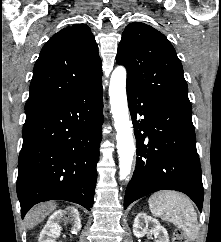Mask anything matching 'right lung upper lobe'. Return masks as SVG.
Wrapping results in <instances>:
<instances>
[{
    "mask_svg": "<svg viewBox=\"0 0 221 242\" xmlns=\"http://www.w3.org/2000/svg\"><path fill=\"white\" fill-rule=\"evenodd\" d=\"M101 75L98 45L89 26L74 24L64 28L40 52L25 109L61 100Z\"/></svg>",
    "mask_w": 221,
    "mask_h": 242,
    "instance_id": "1",
    "label": "right lung upper lobe"
}]
</instances>
